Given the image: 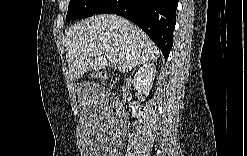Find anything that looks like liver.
<instances>
[{
    "mask_svg": "<svg viewBox=\"0 0 247 156\" xmlns=\"http://www.w3.org/2000/svg\"><path fill=\"white\" fill-rule=\"evenodd\" d=\"M65 35L66 59L73 80L90 69H105L109 58L125 73L160 56V50L142 29L113 14L92 16L69 27Z\"/></svg>",
    "mask_w": 247,
    "mask_h": 156,
    "instance_id": "6515ba94",
    "label": "liver"
}]
</instances>
